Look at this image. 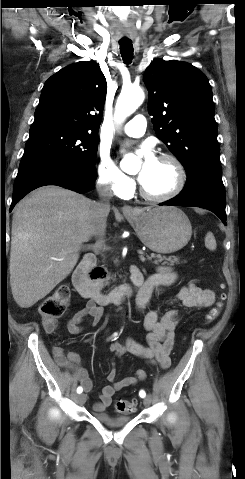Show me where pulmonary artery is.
<instances>
[{
	"label": "pulmonary artery",
	"mask_w": 245,
	"mask_h": 479,
	"mask_svg": "<svg viewBox=\"0 0 245 479\" xmlns=\"http://www.w3.org/2000/svg\"><path fill=\"white\" fill-rule=\"evenodd\" d=\"M124 132L131 137H140L146 131V119L143 115L134 116L123 128Z\"/></svg>",
	"instance_id": "1"
}]
</instances>
